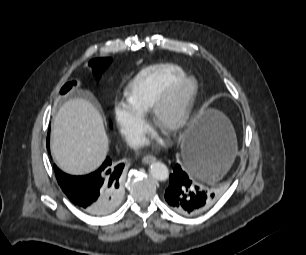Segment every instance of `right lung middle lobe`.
Here are the masks:
<instances>
[{
  "instance_id": "obj_1",
  "label": "right lung middle lobe",
  "mask_w": 306,
  "mask_h": 255,
  "mask_svg": "<svg viewBox=\"0 0 306 255\" xmlns=\"http://www.w3.org/2000/svg\"><path fill=\"white\" fill-rule=\"evenodd\" d=\"M112 59L111 58H98L93 59L89 62V65L92 67L93 74L100 78V75L104 72V70L110 65ZM73 84H76V82H70L64 85L60 91L61 94H65L67 91H69Z\"/></svg>"
}]
</instances>
